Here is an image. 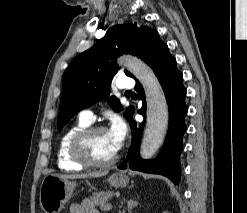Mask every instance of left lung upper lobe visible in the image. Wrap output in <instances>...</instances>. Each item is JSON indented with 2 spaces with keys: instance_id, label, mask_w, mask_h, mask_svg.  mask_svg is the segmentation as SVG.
Masks as SVG:
<instances>
[{
  "instance_id": "left-lung-upper-lobe-1",
  "label": "left lung upper lobe",
  "mask_w": 247,
  "mask_h": 213,
  "mask_svg": "<svg viewBox=\"0 0 247 213\" xmlns=\"http://www.w3.org/2000/svg\"><path fill=\"white\" fill-rule=\"evenodd\" d=\"M132 54L154 66L170 55L156 30L137 23L115 25L92 48L73 59L62 78L63 92L60 101L57 127L61 129L80 110L106 99L119 66L114 58ZM126 75L133 77L128 71ZM109 105L116 112L122 110L118 99L112 96ZM133 107L126 109L124 116L130 121Z\"/></svg>"
}]
</instances>
